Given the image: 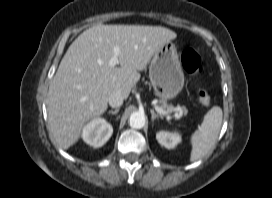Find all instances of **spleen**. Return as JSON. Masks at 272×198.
Instances as JSON below:
<instances>
[{"label":"spleen","instance_id":"3e777b00","mask_svg":"<svg viewBox=\"0 0 272 198\" xmlns=\"http://www.w3.org/2000/svg\"><path fill=\"white\" fill-rule=\"evenodd\" d=\"M222 118V109L218 106L212 107L206 113L201 126L191 136V162L204 157L215 145L221 129Z\"/></svg>","mask_w":272,"mask_h":198}]
</instances>
